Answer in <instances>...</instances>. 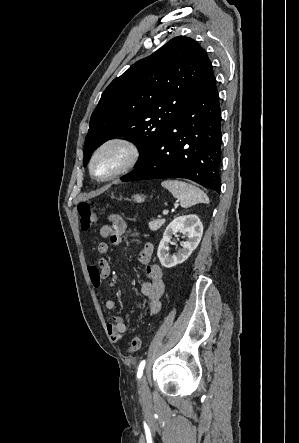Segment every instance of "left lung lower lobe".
Returning <instances> with one entry per match:
<instances>
[{
    "instance_id": "left-lung-lower-lobe-1",
    "label": "left lung lower lobe",
    "mask_w": 299,
    "mask_h": 443,
    "mask_svg": "<svg viewBox=\"0 0 299 443\" xmlns=\"http://www.w3.org/2000/svg\"><path fill=\"white\" fill-rule=\"evenodd\" d=\"M221 113L213 77L171 123L149 155L122 181L187 178L221 190Z\"/></svg>"
}]
</instances>
